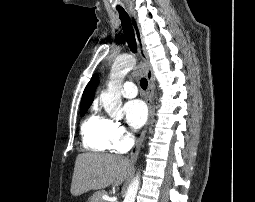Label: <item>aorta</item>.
I'll use <instances>...</instances> for the list:
<instances>
[{"mask_svg": "<svg viewBox=\"0 0 255 202\" xmlns=\"http://www.w3.org/2000/svg\"><path fill=\"white\" fill-rule=\"evenodd\" d=\"M136 64V59L131 55L116 58L111 69V80L106 91L101 93L100 101L105 111L112 118H120L122 79ZM140 186V175L137 174L129 185L123 202H135Z\"/></svg>", "mask_w": 255, "mask_h": 202, "instance_id": "aorta-1", "label": "aorta"}]
</instances>
